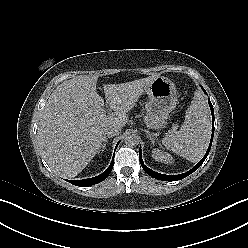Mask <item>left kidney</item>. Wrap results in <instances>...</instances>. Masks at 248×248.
I'll return each instance as SVG.
<instances>
[{
  "mask_svg": "<svg viewBox=\"0 0 248 248\" xmlns=\"http://www.w3.org/2000/svg\"><path fill=\"white\" fill-rule=\"evenodd\" d=\"M152 157L156 161L163 162L165 164H171L173 162V158L169 153L163 152V151H161L159 149H154L152 151Z\"/></svg>",
  "mask_w": 248,
  "mask_h": 248,
  "instance_id": "5707ae66",
  "label": "left kidney"
}]
</instances>
